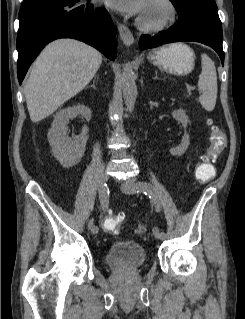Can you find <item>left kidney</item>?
<instances>
[{
	"label": "left kidney",
	"instance_id": "obj_1",
	"mask_svg": "<svg viewBox=\"0 0 245 319\" xmlns=\"http://www.w3.org/2000/svg\"><path fill=\"white\" fill-rule=\"evenodd\" d=\"M172 117L181 122L184 127L189 123V119L183 109L174 110L172 112ZM190 144L189 135L187 133L184 134L180 145L170 150V153L174 156H181L184 154Z\"/></svg>",
	"mask_w": 245,
	"mask_h": 319
}]
</instances>
